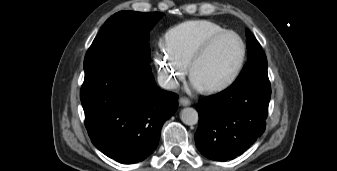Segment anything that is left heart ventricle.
<instances>
[{
	"label": "left heart ventricle",
	"mask_w": 337,
	"mask_h": 171,
	"mask_svg": "<svg viewBox=\"0 0 337 171\" xmlns=\"http://www.w3.org/2000/svg\"><path fill=\"white\" fill-rule=\"evenodd\" d=\"M240 55L241 45L236 37L221 38L195 65L192 76L203 87L220 83L233 71Z\"/></svg>",
	"instance_id": "b2bd125f"
}]
</instances>
